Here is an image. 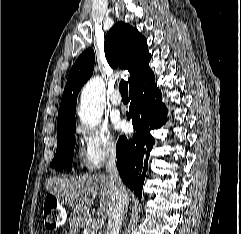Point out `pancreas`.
Here are the masks:
<instances>
[{"label":"pancreas","mask_w":241,"mask_h":234,"mask_svg":"<svg viewBox=\"0 0 241 234\" xmlns=\"http://www.w3.org/2000/svg\"><path fill=\"white\" fill-rule=\"evenodd\" d=\"M84 234H100V231L97 228L92 227V225L86 227Z\"/></svg>","instance_id":"pancreas-1"}]
</instances>
